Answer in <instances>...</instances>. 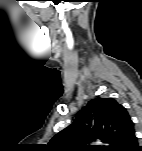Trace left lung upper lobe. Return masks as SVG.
<instances>
[{
    "mask_svg": "<svg viewBox=\"0 0 142 151\" xmlns=\"http://www.w3.org/2000/svg\"><path fill=\"white\" fill-rule=\"evenodd\" d=\"M134 129L127 110L112 98L90 100L76 115L74 122L49 142L54 151H115L121 140ZM99 139L107 146H91Z\"/></svg>",
    "mask_w": 142,
    "mask_h": 151,
    "instance_id": "1",
    "label": "left lung upper lobe"
}]
</instances>
